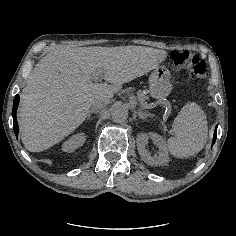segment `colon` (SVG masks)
Wrapping results in <instances>:
<instances>
[{
  "label": "colon",
  "instance_id": "obj_1",
  "mask_svg": "<svg viewBox=\"0 0 236 236\" xmlns=\"http://www.w3.org/2000/svg\"><path fill=\"white\" fill-rule=\"evenodd\" d=\"M170 61L175 68L188 71L191 79H202L207 75L206 62L200 55L191 50L179 49L172 51Z\"/></svg>",
  "mask_w": 236,
  "mask_h": 236
}]
</instances>
